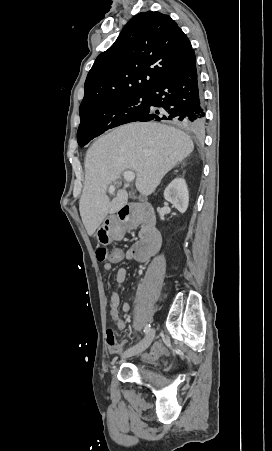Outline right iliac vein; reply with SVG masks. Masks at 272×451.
I'll return each mask as SVG.
<instances>
[{"label": "right iliac vein", "instance_id": "obj_1", "mask_svg": "<svg viewBox=\"0 0 272 451\" xmlns=\"http://www.w3.org/2000/svg\"><path fill=\"white\" fill-rule=\"evenodd\" d=\"M155 336V330L154 328L150 329V331L147 333V335L143 338L142 341H140L137 345L129 348L128 350H126L122 357L123 358H128L137 354L142 353L143 351H145L149 345L151 344L153 338Z\"/></svg>", "mask_w": 272, "mask_h": 451}]
</instances>
